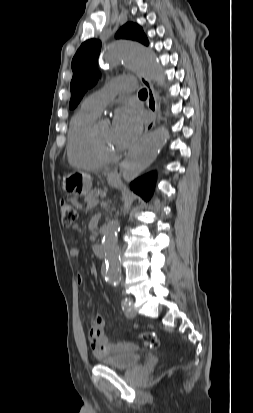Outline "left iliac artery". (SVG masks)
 Wrapping results in <instances>:
<instances>
[{
	"instance_id": "obj_1",
	"label": "left iliac artery",
	"mask_w": 253,
	"mask_h": 413,
	"mask_svg": "<svg viewBox=\"0 0 253 413\" xmlns=\"http://www.w3.org/2000/svg\"><path fill=\"white\" fill-rule=\"evenodd\" d=\"M122 307L124 309V307H127L129 305V299L128 298H124L121 302Z\"/></svg>"
}]
</instances>
